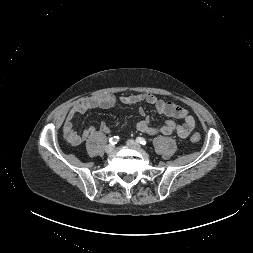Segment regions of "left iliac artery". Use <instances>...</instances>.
Returning <instances> with one entry per match:
<instances>
[{"label":"left iliac artery","mask_w":253,"mask_h":253,"mask_svg":"<svg viewBox=\"0 0 253 253\" xmlns=\"http://www.w3.org/2000/svg\"><path fill=\"white\" fill-rule=\"evenodd\" d=\"M136 142H137V143H140V144H142V145H146V144H147L146 139H144L143 137H137V138H136Z\"/></svg>","instance_id":"left-iliac-artery-1"}]
</instances>
